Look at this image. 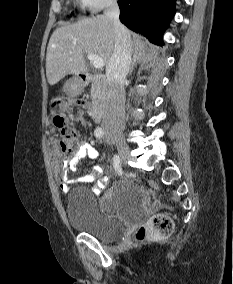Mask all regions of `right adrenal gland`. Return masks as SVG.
Wrapping results in <instances>:
<instances>
[{
  "label": "right adrenal gland",
  "instance_id": "obj_1",
  "mask_svg": "<svg viewBox=\"0 0 233 284\" xmlns=\"http://www.w3.org/2000/svg\"><path fill=\"white\" fill-rule=\"evenodd\" d=\"M143 58H144V51L139 52V53H137V52L134 53L133 59H132V64H131L130 71H129V75L132 74L133 68L136 65V63L142 62Z\"/></svg>",
  "mask_w": 233,
  "mask_h": 284
}]
</instances>
